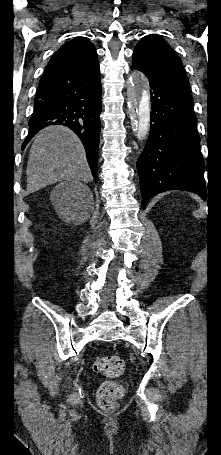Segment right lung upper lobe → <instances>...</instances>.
I'll return each mask as SVG.
<instances>
[{"label":"right lung upper lobe","instance_id":"right-lung-upper-lobe-1","mask_svg":"<svg viewBox=\"0 0 221 455\" xmlns=\"http://www.w3.org/2000/svg\"><path fill=\"white\" fill-rule=\"evenodd\" d=\"M94 45L86 38L73 39L64 44L50 59L45 73L86 53L95 52Z\"/></svg>","mask_w":221,"mask_h":455}]
</instances>
